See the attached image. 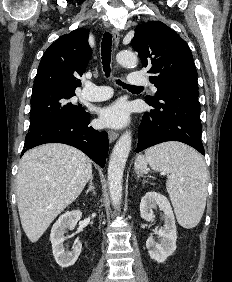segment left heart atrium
Masks as SVG:
<instances>
[{"instance_id":"obj_1","label":"left heart atrium","mask_w":232,"mask_h":282,"mask_svg":"<svg viewBox=\"0 0 232 282\" xmlns=\"http://www.w3.org/2000/svg\"><path fill=\"white\" fill-rule=\"evenodd\" d=\"M129 117V107L124 102H116L99 113V122L105 127H121Z\"/></svg>"}]
</instances>
